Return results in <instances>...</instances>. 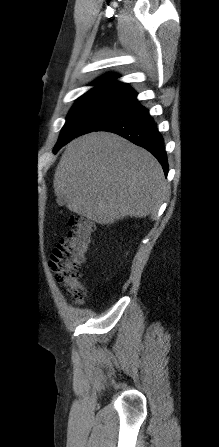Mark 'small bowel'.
Segmentation results:
<instances>
[{
  "label": "small bowel",
  "mask_w": 219,
  "mask_h": 447,
  "mask_svg": "<svg viewBox=\"0 0 219 447\" xmlns=\"http://www.w3.org/2000/svg\"><path fill=\"white\" fill-rule=\"evenodd\" d=\"M76 303H77L78 305L82 304V302H81V301H77Z\"/></svg>",
  "instance_id": "c3829d8e"
}]
</instances>
